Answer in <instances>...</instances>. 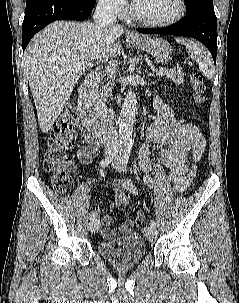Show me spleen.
I'll return each instance as SVG.
<instances>
[{
    "label": "spleen",
    "mask_w": 239,
    "mask_h": 303,
    "mask_svg": "<svg viewBox=\"0 0 239 303\" xmlns=\"http://www.w3.org/2000/svg\"><path fill=\"white\" fill-rule=\"evenodd\" d=\"M176 41L181 44L186 46V50L189 54V56L194 59L199 68L201 69L202 73L209 79L213 77V60L208 52V50L198 44L197 42H194L192 40L183 38V37H178L176 38Z\"/></svg>",
    "instance_id": "obj_1"
}]
</instances>
